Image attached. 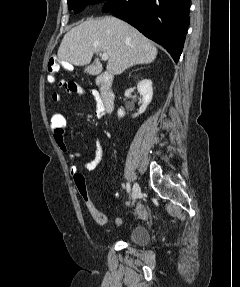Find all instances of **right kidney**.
I'll return each mask as SVG.
<instances>
[{
	"instance_id": "right-kidney-1",
	"label": "right kidney",
	"mask_w": 240,
	"mask_h": 287,
	"mask_svg": "<svg viewBox=\"0 0 240 287\" xmlns=\"http://www.w3.org/2000/svg\"><path fill=\"white\" fill-rule=\"evenodd\" d=\"M137 90L142 96V105L138 112L132 115L133 118L144 113L147 106L151 103L153 97L152 81L150 79H143L137 84ZM117 115L119 118H122L124 117L125 112L122 109H118Z\"/></svg>"
}]
</instances>
